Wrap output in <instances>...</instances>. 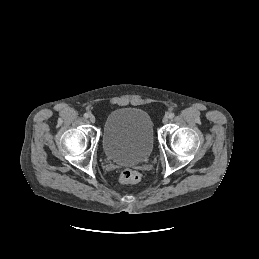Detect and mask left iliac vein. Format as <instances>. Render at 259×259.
Wrapping results in <instances>:
<instances>
[{"label": "left iliac vein", "mask_w": 259, "mask_h": 259, "mask_svg": "<svg viewBox=\"0 0 259 259\" xmlns=\"http://www.w3.org/2000/svg\"><path fill=\"white\" fill-rule=\"evenodd\" d=\"M168 121H169V117H167V116H165V117L163 118V120H162V122H163L164 124L168 123Z\"/></svg>", "instance_id": "4c4485c4"}]
</instances>
